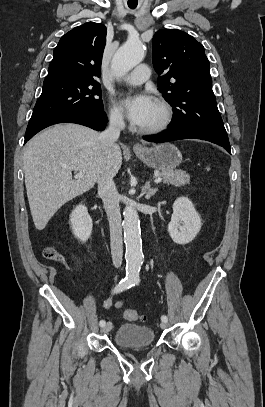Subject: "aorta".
Returning <instances> with one entry per match:
<instances>
[{"label": "aorta", "mask_w": 265, "mask_h": 407, "mask_svg": "<svg viewBox=\"0 0 265 407\" xmlns=\"http://www.w3.org/2000/svg\"><path fill=\"white\" fill-rule=\"evenodd\" d=\"M145 57L144 45L138 38L128 39L115 53L111 68L117 78H121ZM124 241L126 245V273L137 276L143 262L142 240L138 212L126 206L123 212Z\"/></svg>", "instance_id": "obj_1"}]
</instances>
